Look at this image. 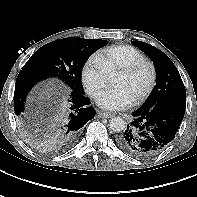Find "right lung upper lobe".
Segmentation results:
<instances>
[{"instance_id":"cb5924a9","label":"right lung upper lobe","mask_w":197,"mask_h":197,"mask_svg":"<svg viewBox=\"0 0 197 197\" xmlns=\"http://www.w3.org/2000/svg\"><path fill=\"white\" fill-rule=\"evenodd\" d=\"M21 125L29 132L34 133L37 136H43L46 139H49V134L40 124L36 123V119L25 117L21 120Z\"/></svg>"}]
</instances>
